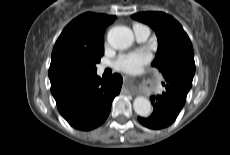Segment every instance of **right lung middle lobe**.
<instances>
[{
  "label": "right lung middle lobe",
  "instance_id": "dd1d6c3e",
  "mask_svg": "<svg viewBox=\"0 0 230 155\" xmlns=\"http://www.w3.org/2000/svg\"><path fill=\"white\" fill-rule=\"evenodd\" d=\"M104 52L85 57H65L59 60L49 71V78H66L96 73V64Z\"/></svg>",
  "mask_w": 230,
  "mask_h": 155
}]
</instances>
